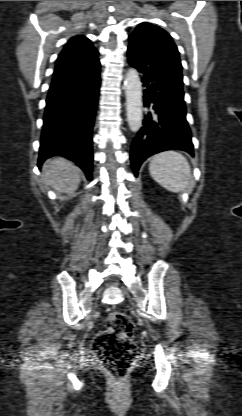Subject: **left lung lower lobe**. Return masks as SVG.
Returning a JSON list of instances; mask_svg holds the SVG:
<instances>
[{
    "label": "left lung lower lobe",
    "instance_id": "left-lung-lower-lobe-1",
    "mask_svg": "<svg viewBox=\"0 0 242 416\" xmlns=\"http://www.w3.org/2000/svg\"><path fill=\"white\" fill-rule=\"evenodd\" d=\"M128 62L141 73L145 87V119L133 139L130 153L137 176L149 156L173 149L193 155V144L186 120L183 81L171 65L159 52L135 39H129Z\"/></svg>",
    "mask_w": 242,
    "mask_h": 416
}]
</instances>
